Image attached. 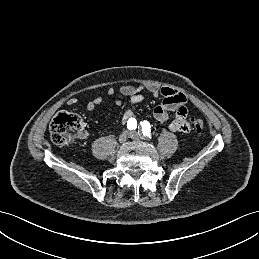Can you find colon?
Listing matches in <instances>:
<instances>
[{
	"instance_id": "colon-1",
	"label": "colon",
	"mask_w": 259,
	"mask_h": 259,
	"mask_svg": "<svg viewBox=\"0 0 259 259\" xmlns=\"http://www.w3.org/2000/svg\"><path fill=\"white\" fill-rule=\"evenodd\" d=\"M82 128L83 121L78 115L61 112L54 117L50 124L51 138L55 144L67 146L73 141ZM193 128L197 133L202 132L204 122L201 119H194Z\"/></svg>"
}]
</instances>
